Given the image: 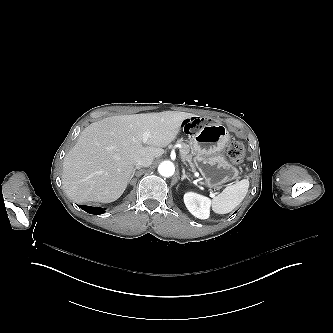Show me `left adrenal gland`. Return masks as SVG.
<instances>
[{
    "label": "left adrenal gland",
    "mask_w": 333,
    "mask_h": 333,
    "mask_svg": "<svg viewBox=\"0 0 333 333\" xmlns=\"http://www.w3.org/2000/svg\"><path fill=\"white\" fill-rule=\"evenodd\" d=\"M182 172H183V176H182V178H181V181H183V180H185V179H187L188 181H191L190 178L186 175V172H185V169H184V168L182 169Z\"/></svg>",
    "instance_id": "obj_1"
}]
</instances>
